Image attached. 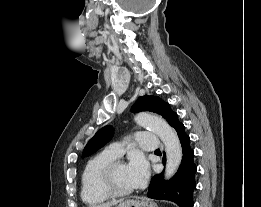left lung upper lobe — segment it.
<instances>
[{
  "instance_id": "obj_1",
  "label": "left lung upper lobe",
  "mask_w": 261,
  "mask_h": 207,
  "mask_svg": "<svg viewBox=\"0 0 261 207\" xmlns=\"http://www.w3.org/2000/svg\"><path fill=\"white\" fill-rule=\"evenodd\" d=\"M133 112L151 111L161 115L174 128L179 121L177 113L171 110L170 105L157 96L145 95L139 97L132 107ZM113 136V128L105 126L101 128L87 143L82 156H90L103 147Z\"/></svg>"
}]
</instances>
